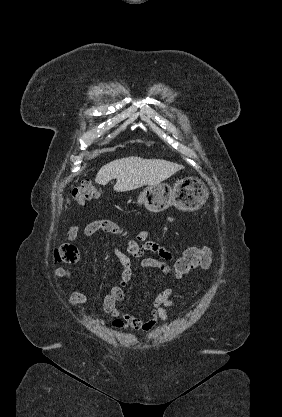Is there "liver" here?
Here are the masks:
<instances>
[{"label":"liver","mask_w":282,"mask_h":417,"mask_svg":"<svg viewBox=\"0 0 282 417\" xmlns=\"http://www.w3.org/2000/svg\"><path fill=\"white\" fill-rule=\"evenodd\" d=\"M184 168L183 164L163 160V158H140V156H126L116 158L101 166L95 176L98 184H108L112 178H117L114 190L124 192L139 186L160 184L172 176L177 170Z\"/></svg>","instance_id":"6515ba94"}]
</instances>
